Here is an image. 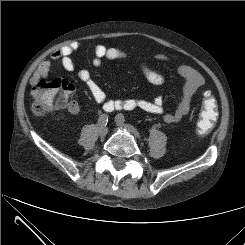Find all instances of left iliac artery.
<instances>
[{"label": "left iliac artery", "instance_id": "obj_1", "mask_svg": "<svg viewBox=\"0 0 245 245\" xmlns=\"http://www.w3.org/2000/svg\"><path fill=\"white\" fill-rule=\"evenodd\" d=\"M118 117L123 119L125 121L124 115L123 114H118Z\"/></svg>", "mask_w": 245, "mask_h": 245}]
</instances>
